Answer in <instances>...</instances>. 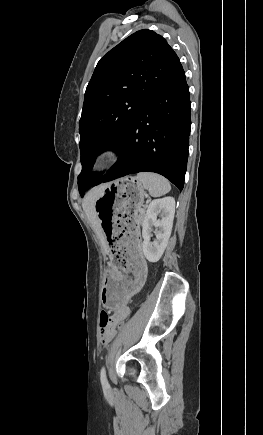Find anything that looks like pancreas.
I'll return each instance as SVG.
<instances>
[{"label":"pancreas","instance_id":"cf45deb5","mask_svg":"<svg viewBox=\"0 0 263 435\" xmlns=\"http://www.w3.org/2000/svg\"><path fill=\"white\" fill-rule=\"evenodd\" d=\"M138 211H139V215L137 216V221L141 223L143 221L145 211L144 210L140 211V209H138Z\"/></svg>","mask_w":263,"mask_h":435}]
</instances>
